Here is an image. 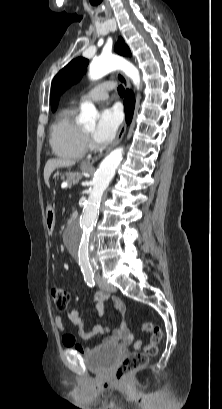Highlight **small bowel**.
<instances>
[{
	"label": "small bowel",
	"instance_id": "c3829d8e",
	"mask_svg": "<svg viewBox=\"0 0 222 409\" xmlns=\"http://www.w3.org/2000/svg\"><path fill=\"white\" fill-rule=\"evenodd\" d=\"M108 302H111L115 312L120 318L119 327L116 329L110 330L108 327L95 325L90 332H87L84 329V319L76 309L68 312V318L78 328V336L82 340H88L97 334L106 335L108 333V335L102 339L101 345L120 343L124 347H129L133 344L134 337L126 322L124 302L120 298L112 297L104 291H98L93 296L90 304L95 308L97 315L102 316ZM55 323L59 330H64L62 318L60 316L55 317ZM64 344L82 354L89 351L77 342L73 336H67ZM141 345V341L134 343L135 348H139Z\"/></svg>",
	"mask_w": 222,
	"mask_h": 409
}]
</instances>
